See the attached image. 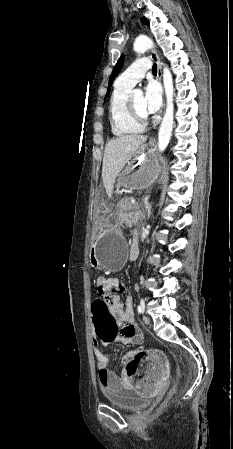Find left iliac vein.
<instances>
[{
  "mask_svg": "<svg viewBox=\"0 0 233 449\" xmlns=\"http://www.w3.org/2000/svg\"><path fill=\"white\" fill-rule=\"evenodd\" d=\"M142 319H143V322H144L145 324H147V325L150 324V318H149L148 316L143 315Z\"/></svg>",
  "mask_w": 233,
  "mask_h": 449,
  "instance_id": "left-iliac-vein-1",
  "label": "left iliac vein"
}]
</instances>
